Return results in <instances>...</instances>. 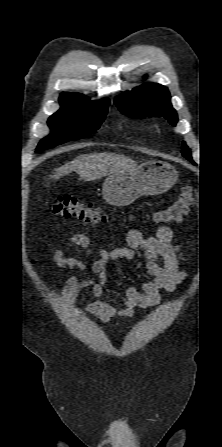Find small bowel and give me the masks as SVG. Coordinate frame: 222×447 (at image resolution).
<instances>
[{"label": "small bowel", "instance_id": "obj_1", "mask_svg": "<svg viewBox=\"0 0 222 447\" xmlns=\"http://www.w3.org/2000/svg\"><path fill=\"white\" fill-rule=\"evenodd\" d=\"M172 237V230L167 226L159 227L153 235H144L138 230H130L126 236L127 246L102 250L89 263L65 257L61 249H55L53 261L65 270L66 285L62 292L63 304L70 306L81 291L89 288L94 299L87 306L86 312L103 323H108L118 317L130 318L134 315L136 308L157 305L162 291L172 292L186 277V273L181 269L182 254ZM69 243L92 253L91 240L84 234L71 235ZM137 248L144 250L150 280L143 283V292L135 286L127 288L122 298L123 308L118 309L103 300L104 286L108 282V266L114 261L134 258ZM160 259L163 260L162 265L159 262ZM75 270H90L97 279L79 281L74 273Z\"/></svg>", "mask_w": 222, "mask_h": 447}]
</instances>
